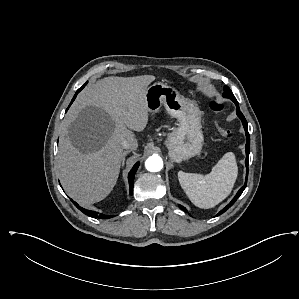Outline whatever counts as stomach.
Returning <instances> with one entry per match:
<instances>
[{"label": "stomach", "instance_id": "1", "mask_svg": "<svg viewBox=\"0 0 299 299\" xmlns=\"http://www.w3.org/2000/svg\"><path fill=\"white\" fill-rule=\"evenodd\" d=\"M146 103L149 112L156 113L163 106L179 122L178 128L166 140L172 161L181 162L200 153L204 141L201 111L194 102L175 88L156 82L147 88Z\"/></svg>", "mask_w": 299, "mask_h": 299}]
</instances>
